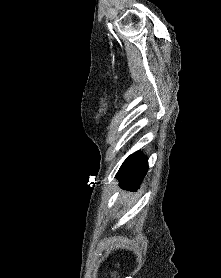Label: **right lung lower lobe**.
I'll use <instances>...</instances> for the list:
<instances>
[{"instance_id":"right-lung-lower-lobe-1","label":"right lung lower lobe","mask_w":221,"mask_h":278,"mask_svg":"<svg viewBox=\"0 0 221 278\" xmlns=\"http://www.w3.org/2000/svg\"><path fill=\"white\" fill-rule=\"evenodd\" d=\"M148 171L147 158L140 152L130 155L120 167L116 177L128 190L139 188Z\"/></svg>"}]
</instances>
